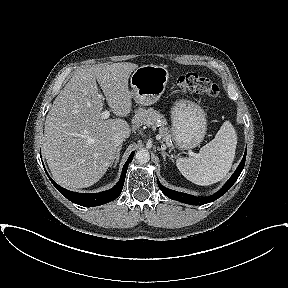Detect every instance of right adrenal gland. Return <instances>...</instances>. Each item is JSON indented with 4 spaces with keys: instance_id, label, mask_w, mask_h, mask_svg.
<instances>
[{
    "instance_id": "obj_1",
    "label": "right adrenal gland",
    "mask_w": 288,
    "mask_h": 288,
    "mask_svg": "<svg viewBox=\"0 0 288 288\" xmlns=\"http://www.w3.org/2000/svg\"><path fill=\"white\" fill-rule=\"evenodd\" d=\"M121 149H122V145H120V146L118 147L115 160H114L113 163H112L114 168L116 167L117 163L119 162Z\"/></svg>"
}]
</instances>
